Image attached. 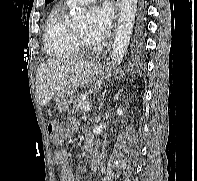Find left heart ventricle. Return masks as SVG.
I'll use <instances>...</instances> for the list:
<instances>
[{"label": "left heart ventricle", "instance_id": "obj_1", "mask_svg": "<svg viewBox=\"0 0 197 181\" xmlns=\"http://www.w3.org/2000/svg\"><path fill=\"white\" fill-rule=\"evenodd\" d=\"M78 34L90 45H95L96 42L92 41L87 35V26L86 24L75 27Z\"/></svg>", "mask_w": 197, "mask_h": 181}]
</instances>
